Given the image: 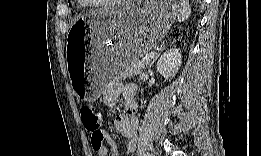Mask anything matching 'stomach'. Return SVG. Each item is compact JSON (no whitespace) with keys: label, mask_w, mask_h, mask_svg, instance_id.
<instances>
[{"label":"stomach","mask_w":261,"mask_h":156,"mask_svg":"<svg viewBox=\"0 0 261 156\" xmlns=\"http://www.w3.org/2000/svg\"><path fill=\"white\" fill-rule=\"evenodd\" d=\"M178 12L176 2H122L78 19L67 36L66 60L75 95L92 102L104 85L119 77L168 33ZM89 40L90 55L78 57L74 44Z\"/></svg>","instance_id":"0dacf381"}]
</instances>
